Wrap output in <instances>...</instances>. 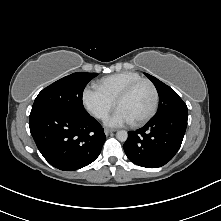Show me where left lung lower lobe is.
<instances>
[{
    "mask_svg": "<svg viewBox=\"0 0 221 221\" xmlns=\"http://www.w3.org/2000/svg\"><path fill=\"white\" fill-rule=\"evenodd\" d=\"M187 118V111L173 112L151 119L136 131H129V137L123 145L127 157L133 163L146 168L165 165L181 146Z\"/></svg>",
    "mask_w": 221,
    "mask_h": 221,
    "instance_id": "obj_1",
    "label": "left lung lower lobe"
}]
</instances>
